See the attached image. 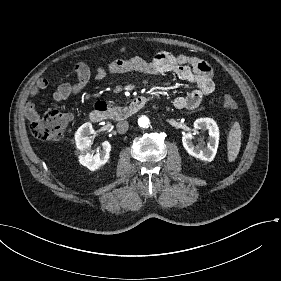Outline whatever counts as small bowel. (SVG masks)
<instances>
[{
    "label": "small bowel",
    "instance_id": "small-bowel-1",
    "mask_svg": "<svg viewBox=\"0 0 281 281\" xmlns=\"http://www.w3.org/2000/svg\"><path fill=\"white\" fill-rule=\"evenodd\" d=\"M138 71L146 74L173 73L179 79L188 81L194 85V89L186 95L178 96L174 99L173 105L176 109L191 110L198 107L206 96L214 90V72L211 66L196 57L185 54H174L171 52H159L152 59L145 60L135 56L126 60H115L108 64L106 68L99 67L95 77L103 79L109 73H124ZM77 82L74 84L62 83L54 91L53 97L57 101H62L70 96L80 93L90 80V69L84 63L75 66ZM49 89L45 80H39L35 86L29 90L27 97L29 103L26 105V116L29 120L38 118L35 104L41 98L47 96Z\"/></svg>",
    "mask_w": 281,
    "mask_h": 281
}]
</instances>
